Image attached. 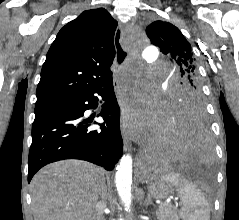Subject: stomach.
Wrapping results in <instances>:
<instances>
[{
  "label": "stomach",
  "instance_id": "obj_1",
  "mask_svg": "<svg viewBox=\"0 0 239 220\" xmlns=\"http://www.w3.org/2000/svg\"><path fill=\"white\" fill-rule=\"evenodd\" d=\"M143 156V155H142ZM153 182L149 183V194L155 198H166L172 191V185L169 182L160 179L152 178Z\"/></svg>",
  "mask_w": 239,
  "mask_h": 220
}]
</instances>
